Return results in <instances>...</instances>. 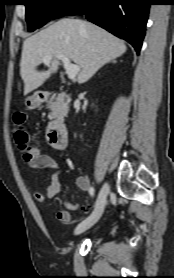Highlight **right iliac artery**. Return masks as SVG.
<instances>
[{
    "label": "right iliac artery",
    "instance_id": "82829eb1",
    "mask_svg": "<svg viewBox=\"0 0 174 278\" xmlns=\"http://www.w3.org/2000/svg\"><path fill=\"white\" fill-rule=\"evenodd\" d=\"M89 194H90L91 196H94V194H95V189H94L93 187L90 188Z\"/></svg>",
    "mask_w": 174,
    "mask_h": 278
}]
</instances>
